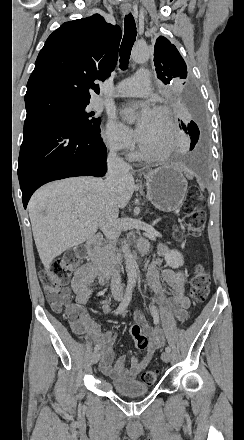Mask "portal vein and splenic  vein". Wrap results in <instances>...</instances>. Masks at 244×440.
<instances>
[{
  "instance_id": "1",
  "label": "portal vein and splenic vein",
  "mask_w": 244,
  "mask_h": 440,
  "mask_svg": "<svg viewBox=\"0 0 244 440\" xmlns=\"http://www.w3.org/2000/svg\"><path fill=\"white\" fill-rule=\"evenodd\" d=\"M75 224H79V220H75Z\"/></svg>"
}]
</instances>
